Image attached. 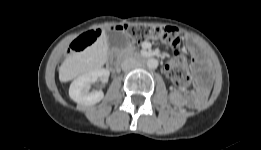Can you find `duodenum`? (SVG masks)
Wrapping results in <instances>:
<instances>
[{
  "mask_svg": "<svg viewBox=\"0 0 261 150\" xmlns=\"http://www.w3.org/2000/svg\"><path fill=\"white\" fill-rule=\"evenodd\" d=\"M110 67L113 69V70H117L118 67H119V59L117 57H112L110 59Z\"/></svg>",
  "mask_w": 261,
  "mask_h": 150,
  "instance_id": "duodenum-1",
  "label": "duodenum"
}]
</instances>
